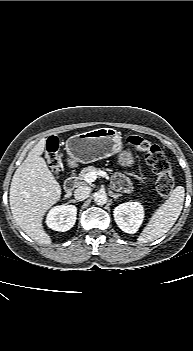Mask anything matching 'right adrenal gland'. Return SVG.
<instances>
[{"label": "right adrenal gland", "instance_id": "obj_1", "mask_svg": "<svg viewBox=\"0 0 193 351\" xmlns=\"http://www.w3.org/2000/svg\"><path fill=\"white\" fill-rule=\"evenodd\" d=\"M69 202H70V203H77V202H79V201H77V200H75V199H72V200H70Z\"/></svg>", "mask_w": 193, "mask_h": 351}]
</instances>
